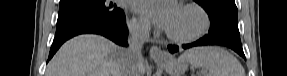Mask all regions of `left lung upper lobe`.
<instances>
[{"label":"left lung upper lobe","instance_id":"1","mask_svg":"<svg viewBox=\"0 0 287 76\" xmlns=\"http://www.w3.org/2000/svg\"><path fill=\"white\" fill-rule=\"evenodd\" d=\"M210 18L209 35L230 42H241L237 7L234 0H194Z\"/></svg>","mask_w":287,"mask_h":76}]
</instances>
